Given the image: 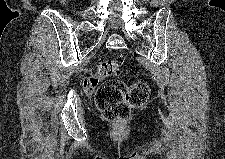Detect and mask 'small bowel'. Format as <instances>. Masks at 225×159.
Returning <instances> with one entry per match:
<instances>
[{"instance_id": "1", "label": "small bowel", "mask_w": 225, "mask_h": 159, "mask_svg": "<svg viewBox=\"0 0 225 159\" xmlns=\"http://www.w3.org/2000/svg\"><path fill=\"white\" fill-rule=\"evenodd\" d=\"M97 81H95L94 77L87 78L83 81V88L86 92L91 93L95 89L97 85Z\"/></svg>"}]
</instances>
